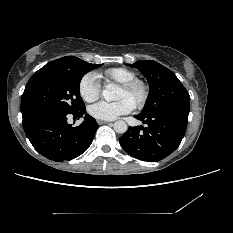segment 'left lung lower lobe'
I'll list each match as a JSON object with an SVG mask.
<instances>
[{
    "label": "left lung lower lobe",
    "mask_w": 233,
    "mask_h": 233,
    "mask_svg": "<svg viewBox=\"0 0 233 233\" xmlns=\"http://www.w3.org/2000/svg\"><path fill=\"white\" fill-rule=\"evenodd\" d=\"M135 118L147 124V127H129L119 138L120 145L137 159L156 162L180 145L185 135L188 113L139 114Z\"/></svg>",
    "instance_id": "obj_1"
}]
</instances>
